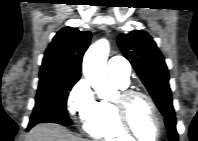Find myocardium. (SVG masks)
Returning a JSON list of instances; mask_svg holds the SVG:
<instances>
[{
    "label": "myocardium",
    "instance_id": "1",
    "mask_svg": "<svg viewBox=\"0 0 198 141\" xmlns=\"http://www.w3.org/2000/svg\"><path fill=\"white\" fill-rule=\"evenodd\" d=\"M135 98H143L149 104L156 121L157 126V135L154 141H158L163 133V121L159 112V109L151 96L148 94L135 90V89H122L118 97L112 102L117 120L122 127V129L131 137L137 140H142L138 137L136 132L131 126L130 119H129V108L131 101Z\"/></svg>",
    "mask_w": 198,
    "mask_h": 141
}]
</instances>
